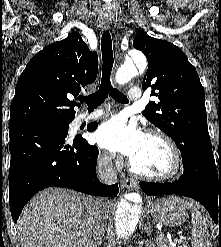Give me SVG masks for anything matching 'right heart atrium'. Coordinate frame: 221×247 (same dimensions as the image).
<instances>
[{
  "label": "right heart atrium",
  "mask_w": 221,
  "mask_h": 247,
  "mask_svg": "<svg viewBox=\"0 0 221 247\" xmlns=\"http://www.w3.org/2000/svg\"><path fill=\"white\" fill-rule=\"evenodd\" d=\"M110 160V156L108 154H103L102 155V161L107 163Z\"/></svg>",
  "instance_id": "d8ad5b80"
}]
</instances>
